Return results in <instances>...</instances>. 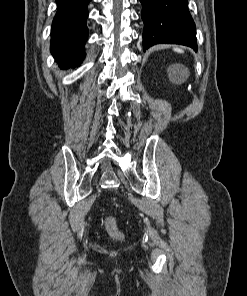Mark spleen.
<instances>
[{
  "instance_id": "3e777b00",
  "label": "spleen",
  "mask_w": 247,
  "mask_h": 296,
  "mask_svg": "<svg viewBox=\"0 0 247 296\" xmlns=\"http://www.w3.org/2000/svg\"><path fill=\"white\" fill-rule=\"evenodd\" d=\"M174 51H176L178 53H182L183 52V50L180 49V48H178V47H175L174 48ZM178 70L180 71V73L178 74V76H177L176 79L179 82H183L186 79V77H187V72L183 68H181V67H179Z\"/></svg>"
}]
</instances>
